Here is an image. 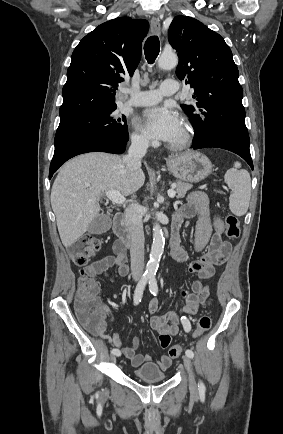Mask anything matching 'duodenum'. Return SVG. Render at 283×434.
Masks as SVG:
<instances>
[{
  "mask_svg": "<svg viewBox=\"0 0 283 434\" xmlns=\"http://www.w3.org/2000/svg\"><path fill=\"white\" fill-rule=\"evenodd\" d=\"M113 231L118 237V242L123 247V249L126 250L127 248H129L131 245V236L125 226L124 215L121 212L116 213L114 216ZM178 238L179 227L173 226L171 229V242L177 241Z\"/></svg>",
  "mask_w": 283,
  "mask_h": 434,
  "instance_id": "410a0bca",
  "label": "duodenum"
}]
</instances>
